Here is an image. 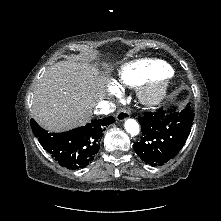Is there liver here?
Wrapping results in <instances>:
<instances>
[{
  "label": "liver",
  "mask_w": 221,
  "mask_h": 221,
  "mask_svg": "<svg viewBox=\"0 0 221 221\" xmlns=\"http://www.w3.org/2000/svg\"><path fill=\"white\" fill-rule=\"evenodd\" d=\"M105 96L96 65L60 61L45 71L33 95L32 115L51 132L84 125Z\"/></svg>",
  "instance_id": "liver-1"
}]
</instances>
